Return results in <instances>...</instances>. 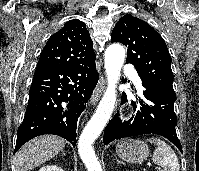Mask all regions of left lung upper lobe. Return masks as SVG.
Wrapping results in <instances>:
<instances>
[{
	"mask_svg": "<svg viewBox=\"0 0 199 171\" xmlns=\"http://www.w3.org/2000/svg\"><path fill=\"white\" fill-rule=\"evenodd\" d=\"M111 41L128 47L126 63L135 66L142 83L176 95L172 86V59L166 43L148 23L125 15L116 23Z\"/></svg>",
	"mask_w": 199,
	"mask_h": 171,
	"instance_id": "left-lung-upper-lobe-1",
	"label": "left lung upper lobe"
}]
</instances>
